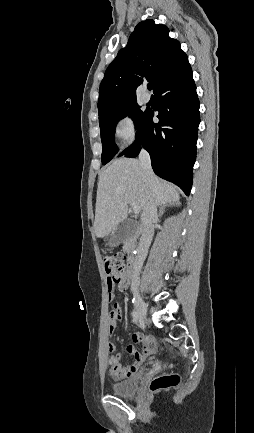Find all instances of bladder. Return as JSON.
Listing matches in <instances>:
<instances>
[{
	"instance_id": "obj_1",
	"label": "bladder",
	"mask_w": 254,
	"mask_h": 433,
	"mask_svg": "<svg viewBox=\"0 0 254 433\" xmlns=\"http://www.w3.org/2000/svg\"><path fill=\"white\" fill-rule=\"evenodd\" d=\"M140 385V375H134L124 381L113 383L111 390L113 394L128 397L134 395Z\"/></svg>"
}]
</instances>
